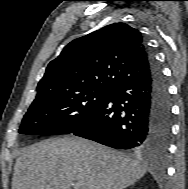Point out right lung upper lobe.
Wrapping results in <instances>:
<instances>
[{"label": "right lung upper lobe", "instance_id": "cb5924a9", "mask_svg": "<svg viewBox=\"0 0 188 189\" xmlns=\"http://www.w3.org/2000/svg\"><path fill=\"white\" fill-rule=\"evenodd\" d=\"M150 71L139 30L113 23L64 47L37 86V96L89 88L114 89Z\"/></svg>", "mask_w": 188, "mask_h": 189}]
</instances>
